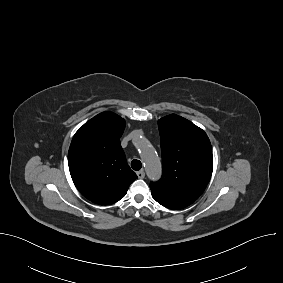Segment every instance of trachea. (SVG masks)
Listing matches in <instances>:
<instances>
[{
	"mask_svg": "<svg viewBox=\"0 0 283 283\" xmlns=\"http://www.w3.org/2000/svg\"><path fill=\"white\" fill-rule=\"evenodd\" d=\"M131 167L133 170L135 171H138L141 169L142 167V163L141 161L137 160V159H134L132 162H131Z\"/></svg>",
	"mask_w": 283,
	"mask_h": 283,
	"instance_id": "trachea-1",
	"label": "trachea"
}]
</instances>
